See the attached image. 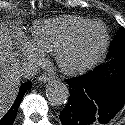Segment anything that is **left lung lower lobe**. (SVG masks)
<instances>
[{"label":"left lung lower lobe","instance_id":"0a47b994","mask_svg":"<svg viewBox=\"0 0 125 125\" xmlns=\"http://www.w3.org/2000/svg\"><path fill=\"white\" fill-rule=\"evenodd\" d=\"M108 57H115V60L106 66H97L80 77L65 80L69 85L70 97L59 116L63 125L105 124L124 106L125 54ZM111 68L115 69L112 77L107 75V70Z\"/></svg>","mask_w":125,"mask_h":125}]
</instances>
